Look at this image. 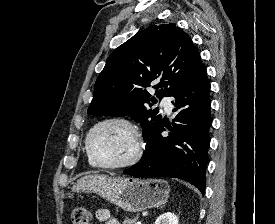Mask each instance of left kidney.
<instances>
[{
  "mask_svg": "<svg viewBox=\"0 0 275 224\" xmlns=\"http://www.w3.org/2000/svg\"><path fill=\"white\" fill-rule=\"evenodd\" d=\"M155 224H179V220L174 213L167 212L160 215L156 219Z\"/></svg>",
  "mask_w": 275,
  "mask_h": 224,
  "instance_id": "obj_1",
  "label": "left kidney"
}]
</instances>
